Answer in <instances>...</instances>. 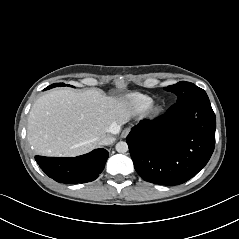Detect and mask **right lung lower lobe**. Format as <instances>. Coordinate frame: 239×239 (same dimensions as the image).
Returning <instances> with one entry per match:
<instances>
[{
	"label": "right lung lower lobe",
	"mask_w": 239,
	"mask_h": 239,
	"mask_svg": "<svg viewBox=\"0 0 239 239\" xmlns=\"http://www.w3.org/2000/svg\"><path fill=\"white\" fill-rule=\"evenodd\" d=\"M109 153L100 148L75 158L36 156L35 160L50 178L61 183H86L98 178L103 171Z\"/></svg>",
	"instance_id": "right-lung-lower-lobe-1"
}]
</instances>
